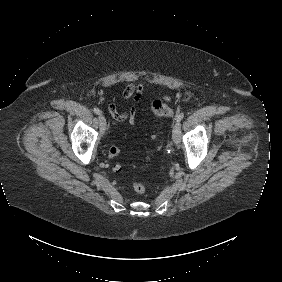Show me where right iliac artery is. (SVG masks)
Segmentation results:
<instances>
[{
	"label": "right iliac artery",
	"instance_id": "right-iliac-artery-1",
	"mask_svg": "<svg viewBox=\"0 0 282 282\" xmlns=\"http://www.w3.org/2000/svg\"><path fill=\"white\" fill-rule=\"evenodd\" d=\"M93 111H94L96 114H100V113H101V111H100L98 108H96V107L93 109Z\"/></svg>",
	"mask_w": 282,
	"mask_h": 282
}]
</instances>
